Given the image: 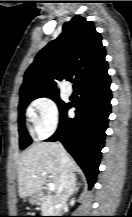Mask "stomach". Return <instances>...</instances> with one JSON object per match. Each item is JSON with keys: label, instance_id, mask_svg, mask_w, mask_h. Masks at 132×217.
Returning a JSON list of instances; mask_svg holds the SVG:
<instances>
[{"label": "stomach", "instance_id": "0dacf381", "mask_svg": "<svg viewBox=\"0 0 132 217\" xmlns=\"http://www.w3.org/2000/svg\"><path fill=\"white\" fill-rule=\"evenodd\" d=\"M42 198L39 193L33 194L30 196L29 202L31 204H39L41 202Z\"/></svg>", "mask_w": 132, "mask_h": 217}]
</instances>
